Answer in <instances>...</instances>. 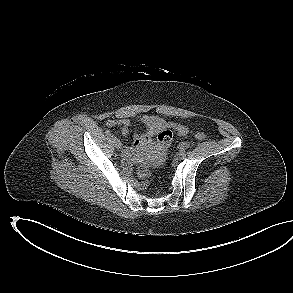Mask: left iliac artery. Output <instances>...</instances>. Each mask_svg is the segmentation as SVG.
I'll use <instances>...</instances> for the list:
<instances>
[{"label":"left iliac artery","mask_w":293,"mask_h":293,"mask_svg":"<svg viewBox=\"0 0 293 293\" xmlns=\"http://www.w3.org/2000/svg\"><path fill=\"white\" fill-rule=\"evenodd\" d=\"M188 148V145L186 144V143H181L180 145H179V149H180V151H184L185 152V150Z\"/></svg>","instance_id":"left-iliac-artery-1"}]
</instances>
